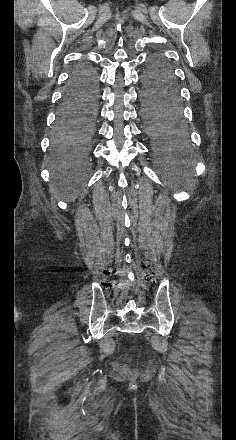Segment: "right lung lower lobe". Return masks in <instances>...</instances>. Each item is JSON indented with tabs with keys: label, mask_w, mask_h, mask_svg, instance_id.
Segmentation results:
<instances>
[{
	"label": "right lung lower lobe",
	"mask_w": 236,
	"mask_h": 440,
	"mask_svg": "<svg viewBox=\"0 0 236 440\" xmlns=\"http://www.w3.org/2000/svg\"><path fill=\"white\" fill-rule=\"evenodd\" d=\"M88 82H97V74L88 63L80 64L73 72L65 91L63 105L57 118V130L64 131L74 128L81 121V108L83 99L80 97L81 89Z\"/></svg>",
	"instance_id": "obj_1"
}]
</instances>
